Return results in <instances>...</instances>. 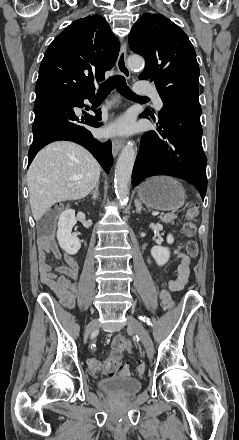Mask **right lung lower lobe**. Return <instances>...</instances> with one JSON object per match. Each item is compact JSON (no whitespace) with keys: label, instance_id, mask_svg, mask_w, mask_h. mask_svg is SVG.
<instances>
[{"label":"right lung lower lobe","instance_id":"obj_1","mask_svg":"<svg viewBox=\"0 0 239 440\" xmlns=\"http://www.w3.org/2000/svg\"><path fill=\"white\" fill-rule=\"evenodd\" d=\"M84 99H88L94 104V91L74 95L50 93L36 96L35 120L32 126L34 136L33 144L29 149L28 165L38 151L47 144L68 140L87 148L103 169L109 173L113 164L111 142H98L87 129V126L99 127L101 125L97 122L101 120L100 110H94L96 116L85 113L86 116L81 118L74 113V107L84 106Z\"/></svg>","mask_w":239,"mask_h":440}]
</instances>
